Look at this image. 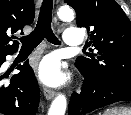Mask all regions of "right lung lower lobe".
<instances>
[{"instance_id": "right-lung-lower-lobe-1", "label": "right lung lower lobe", "mask_w": 131, "mask_h": 115, "mask_svg": "<svg viewBox=\"0 0 131 115\" xmlns=\"http://www.w3.org/2000/svg\"><path fill=\"white\" fill-rule=\"evenodd\" d=\"M6 56L0 58V67ZM20 73L11 78L10 84H3L0 75V113L5 115H35L40 91L33 69L28 60L18 67Z\"/></svg>"}]
</instances>
